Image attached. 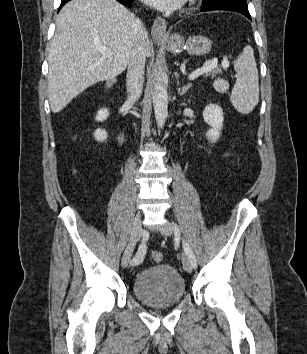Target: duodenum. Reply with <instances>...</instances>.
<instances>
[{
  "label": "duodenum",
  "instance_id": "410a0bca",
  "mask_svg": "<svg viewBox=\"0 0 307 354\" xmlns=\"http://www.w3.org/2000/svg\"><path fill=\"white\" fill-rule=\"evenodd\" d=\"M114 86V81H108L105 85V93L107 96H109L113 90ZM117 138L120 142H123L125 140V132L122 129L117 130Z\"/></svg>",
  "mask_w": 307,
  "mask_h": 354
}]
</instances>
